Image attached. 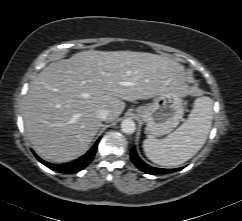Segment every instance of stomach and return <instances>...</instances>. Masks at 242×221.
Masks as SVG:
<instances>
[{
  "label": "stomach",
  "instance_id": "obj_1",
  "mask_svg": "<svg viewBox=\"0 0 242 221\" xmlns=\"http://www.w3.org/2000/svg\"><path fill=\"white\" fill-rule=\"evenodd\" d=\"M135 114L146 123L145 130L149 135H166L177 127L183 117L182 96L174 92L162 93L152 103L137 107Z\"/></svg>",
  "mask_w": 242,
  "mask_h": 221
}]
</instances>
